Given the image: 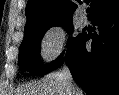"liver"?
Segmentation results:
<instances>
[{
    "label": "liver",
    "instance_id": "obj_1",
    "mask_svg": "<svg viewBox=\"0 0 119 95\" xmlns=\"http://www.w3.org/2000/svg\"><path fill=\"white\" fill-rule=\"evenodd\" d=\"M60 74L61 72L49 73L43 79L22 87L18 95H69L67 85Z\"/></svg>",
    "mask_w": 119,
    "mask_h": 95
}]
</instances>
